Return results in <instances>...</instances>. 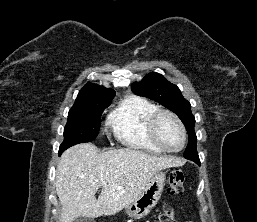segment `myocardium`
Segmentation results:
<instances>
[{"label":"myocardium","mask_w":257,"mask_h":222,"mask_svg":"<svg viewBox=\"0 0 257 222\" xmlns=\"http://www.w3.org/2000/svg\"><path fill=\"white\" fill-rule=\"evenodd\" d=\"M169 116L171 117L176 123L177 125L179 126L180 130H181V133H182V144L179 148L177 149H170V148H167L163 143L162 141L160 140L159 136H158V133H157V124H158V121L159 119L162 117V116ZM148 132H149V135L152 139V141L162 150V151H165V152H168V153H177V152H180L186 145V142H187V131H186V128L182 122V120L178 117L177 114H175L174 112L170 111V110H167V109H158L157 111H155L150 119H149V122H148Z\"/></svg>","instance_id":"myocardium-1"}]
</instances>
